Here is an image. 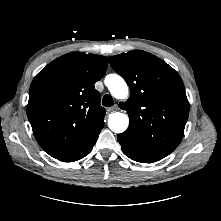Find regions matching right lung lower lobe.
Returning <instances> with one entry per match:
<instances>
[{
  "instance_id": "obj_1",
  "label": "right lung lower lobe",
  "mask_w": 221,
  "mask_h": 221,
  "mask_svg": "<svg viewBox=\"0 0 221 221\" xmlns=\"http://www.w3.org/2000/svg\"><path fill=\"white\" fill-rule=\"evenodd\" d=\"M103 125H100L95 130V132L91 135V137L81 147H79L78 149H76L68 154L60 156L56 159L63 161V162H74V161L80 160L83 157H85L86 155H88L90 153V151L92 150L95 142L97 141L99 133H100L101 129L103 128Z\"/></svg>"
}]
</instances>
